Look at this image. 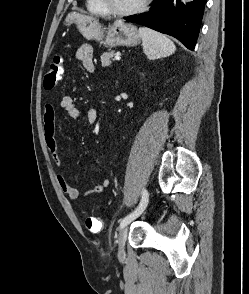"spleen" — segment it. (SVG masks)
I'll use <instances>...</instances> for the list:
<instances>
[{"mask_svg": "<svg viewBox=\"0 0 249 294\" xmlns=\"http://www.w3.org/2000/svg\"><path fill=\"white\" fill-rule=\"evenodd\" d=\"M139 34L143 51L150 60L170 56L176 50L174 43L164 34L147 27H140Z\"/></svg>", "mask_w": 249, "mask_h": 294, "instance_id": "1", "label": "spleen"}]
</instances>
